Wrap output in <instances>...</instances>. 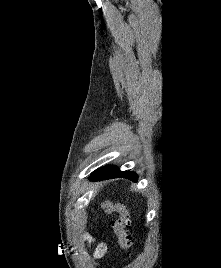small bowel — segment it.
<instances>
[{"label": "small bowel", "mask_w": 221, "mask_h": 268, "mask_svg": "<svg viewBox=\"0 0 221 268\" xmlns=\"http://www.w3.org/2000/svg\"><path fill=\"white\" fill-rule=\"evenodd\" d=\"M85 238H86L89 242L92 241V239H91L90 236H88V235H86ZM106 251H107V247H106L105 244H103V243L98 244V245L96 246V248H95V251H94V258H95V259H100V258H102V257L105 255Z\"/></svg>", "instance_id": "1"}]
</instances>
